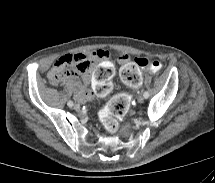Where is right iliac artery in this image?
Wrapping results in <instances>:
<instances>
[{
	"mask_svg": "<svg viewBox=\"0 0 215 183\" xmlns=\"http://www.w3.org/2000/svg\"><path fill=\"white\" fill-rule=\"evenodd\" d=\"M67 105H68L69 107H72V106L74 105V103H73L72 101H68Z\"/></svg>",
	"mask_w": 215,
	"mask_h": 183,
	"instance_id": "right-iliac-artery-1",
	"label": "right iliac artery"
}]
</instances>
